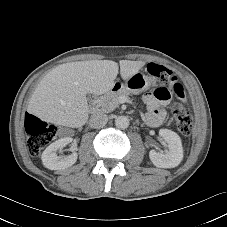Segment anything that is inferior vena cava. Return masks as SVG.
<instances>
[{
	"instance_id": "1",
	"label": "inferior vena cava",
	"mask_w": 227,
	"mask_h": 227,
	"mask_svg": "<svg viewBox=\"0 0 227 227\" xmlns=\"http://www.w3.org/2000/svg\"><path fill=\"white\" fill-rule=\"evenodd\" d=\"M108 116L102 112L93 114L90 117V126L93 128H101L107 124Z\"/></svg>"
}]
</instances>
